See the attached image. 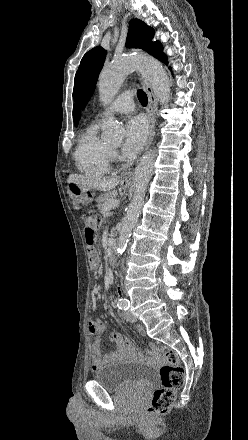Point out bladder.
Instances as JSON below:
<instances>
[{
    "label": "bladder",
    "instance_id": "31cf9c89",
    "mask_svg": "<svg viewBox=\"0 0 248 440\" xmlns=\"http://www.w3.org/2000/svg\"><path fill=\"white\" fill-rule=\"evenodd\" d=\"M155 376L154 370L144 364L132 361L107 363L93 373V379L108 390H148Z\"/></svg>",
    "mask_w": 248,
    "mask_h": 440
}]
</instances>
